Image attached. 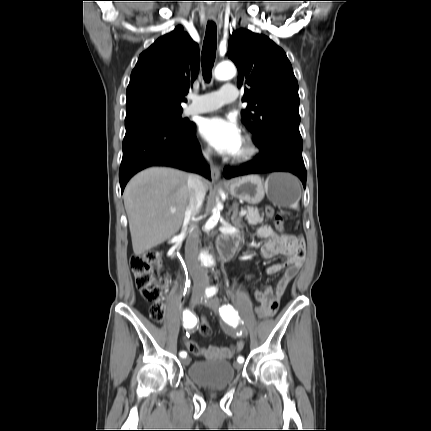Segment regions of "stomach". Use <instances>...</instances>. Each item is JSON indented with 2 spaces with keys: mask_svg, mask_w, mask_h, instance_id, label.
<instances>
[{
  "mask_svg": "<svg viewBox=\"0 0 431 431\" xmlns=\"http://www.w3.org/2000/svg\"><path fill=\"white\" fill-rule=\"evenodd\" d=\"M229 192L232 196L253 205L260 203L266 193L274 205L287 207L299 201L301 188L294 176L274 173L268 177L265 184L258 175L234 179L229 183Z\"/></svg>",
  "mask_w": 431,
  "mask_h": 431,
  "instance_id": "obj_1",
  "label": "stomach"
}]
</instances>
